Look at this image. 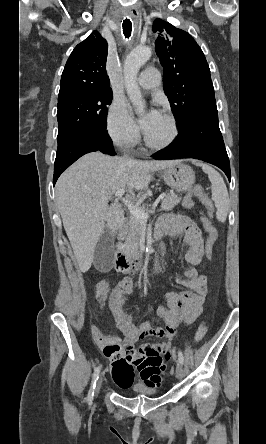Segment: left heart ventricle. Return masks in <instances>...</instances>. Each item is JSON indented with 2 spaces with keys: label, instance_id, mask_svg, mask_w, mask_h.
Instances as JSON below:
<instances>
[{
  "label": "left heart ventricle",
  "instance_id": "1",
  "mask_svg": "<svg viewBox=\"0 0 266 444\" xmlns=\"http://www.w3.org/2000/svg\"><path fill=\"white\" fill-rule=\"evenodd\" d=\"M145 132L152 142L162 144L171 135L172 128L168 119L160 115L154 124Z\"/></svg>",
  "mask_w": 266,
  "mask_h": 444
}]
</instances>
